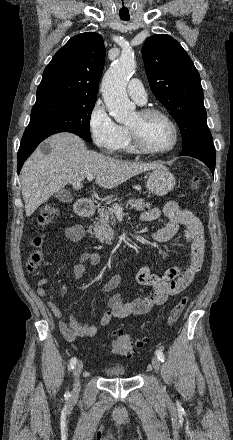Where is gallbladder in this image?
Instances as JSON below:
<instances>
[{
  "instance_id": "1",
  "label": "gallbladder",
  "mask_w": 233,
  "mask_h": 440,
  "mask_svg": "<svg viewBox=\"0 0 233 440\" xmlns=\"http://www.w3.org/2000/svg\"><path fill=\"white\" fill-rule=\"evenodd\" d=\"M55 197L65 203H70L73 201L72 194L67 190H60L55 194Z\"/></svg>"
}]
</instances>
